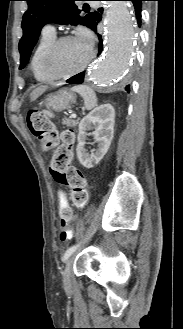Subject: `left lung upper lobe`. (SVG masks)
I'll use <instances>...</instances> for the list:
<instances>
[{
    "label": "left lung upper lobe",
    "instance_id": "5c2ea615",
    "mask_svg": "<svg viewBox=\"0 0 183 329\" xmlns=\"http://www.w3.org/2000/svg\"><path fill=\"white\" fill-rule=\"evenodd\" d=\"M28 10L23 15L21 23L23 36L19 42L21 54L20 67L22 69L28 63L31 51L36 44L40 31L45 24H81L92 28L95 23V14H81L75 4L76 1L85 0H25Z\"/></svg>",
    "mask_w": 183,
    "mask_h": 329
}]
</instances>
